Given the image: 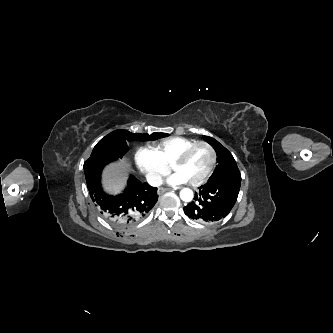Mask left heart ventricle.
I'll list each match as a JSON object with an SVG mask.
<instances>
[{"instance_id": "1", "label": "left heart ventricle", "mask_w": 333, "mask_h": 333, "mask_svg": "<svg viewBox=\"0 0 333 333\" xmlns=\"http://www.w3.org/2000/svg\"><path fill=\"white\" fill-rule=\"evenodd\" d=\"M212 160L209 149L203 146L195 148L186 161L174 168L175 172L184 175L188 182L199 179L208 170Z\"/></svg>"}]
</instances>
